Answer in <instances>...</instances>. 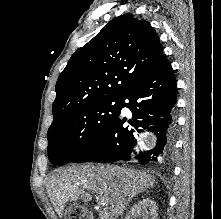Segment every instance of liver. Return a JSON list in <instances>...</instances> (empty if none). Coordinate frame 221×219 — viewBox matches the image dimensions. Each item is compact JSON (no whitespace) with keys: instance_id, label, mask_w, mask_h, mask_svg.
Listing matches in <instances>:
<instances>
[{"instance_id":"6515ba94","label":"liver","mask_w":221,"mask_h":219,"mask_svg":"<svg viewBox=\"0 0 221 219\" xmlns=\"http://www.w3.org/2000/svg\"><path fill=\"white\" fill-rule=\"evenodd\" d=\"M155 178L119 166L84 164L56 170L47 184V193L61 217L67 202H89L92 194L109 205L112 216H120L130 200L153 187Z\"/></svg>"}]
</instances>
